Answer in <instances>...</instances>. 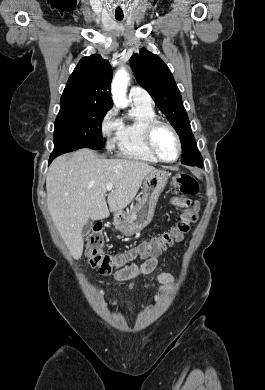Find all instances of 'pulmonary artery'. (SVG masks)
Listing matches in <instances>:
<instances>
[{
    "label": "pulmonary artery",
    "mask_w": 265,
    "mask_h": 390,
    "mask_svg": "<svg viewBox=\"0 0 265 390\" xmlns=\"http://www.w3.org/2000/svg\"><path fill=\"white\" fill-rule=\"evenodd\" d=\"M129 96L133 103L144 104V105L152 104V100L150 96L140 87H136V86L132 87L130 89Z\"/></svg>",
    "instance_id": "pulmonary-artery-1"
}]
</instances>
